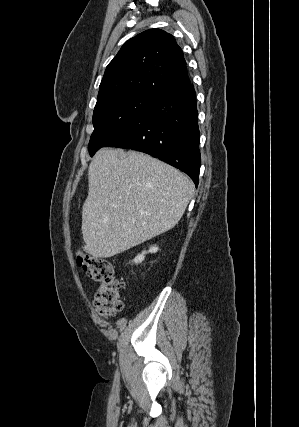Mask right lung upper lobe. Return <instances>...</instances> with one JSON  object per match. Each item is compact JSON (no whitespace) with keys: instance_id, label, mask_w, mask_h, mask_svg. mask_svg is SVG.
I'll list each match as a JSON object with an SVG mask.
<instances>
[{"instance_id":"right-lung-upper-lobe-1","label":"right lung upper lobe","mask_w":299,"mask_h":427,"mask_svg":"<svg viewBox=\"0 0 299 427\" xmlns=\"http://www.w3.org/2000/svg\"><path fill=\"white\" fill-rule=\"evenodd\" d=\"M189 83L183 52L174 37L150 29L128 40L108 64L97 101L118 94L155 99Z\"/></svg>"}]
</instances>
